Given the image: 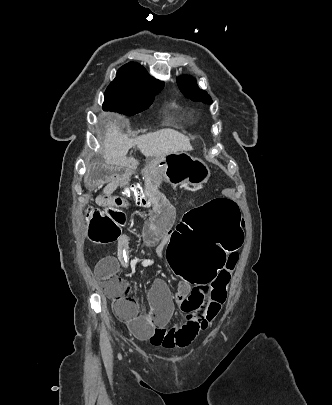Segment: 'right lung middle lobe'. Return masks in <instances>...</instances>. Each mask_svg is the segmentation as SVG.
Returning a JSON list of instances; mask_svg holds the SVG:
<instances>
[{
	"instance_id": "1",
	"label": "right lung middle lobe",
	"mask_w": 332,
	"mask_h": 405,
	"mask_svg": "<svg viewBox=\"0 0 332 405\" xmlns=\"http://www.w3.org/2000/svg\"><path fill=\"white\" fill-rule=\"evenodd\" d=\"M162 88H138L114 79L106 89L103 109L128 116L137 114L151 105Z\"/></svg>"
}]
</instances>
